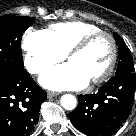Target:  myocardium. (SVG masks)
Returning a JSON list of instances; mask_svg holds the SVG:
<instances>
[{
	"label": "myocardium",
	"instance_id": "myocardium-1",
	"mask_svg": "<svg viewBox=\"0 0 136 136\" xmlns=\"http://www.w3.org/2000/svg\"><path fill=\"white\" fill-rule=\"evenodd\" d=\"M101 36H105L110 40L111 49H112L111 59H110V62L108 64L107 68L98 77L89 81V83L91 85H98L100 83H103L111 76V74L113 73V71L115 69L117 59H118V46H117V42H116L114 36L109 32L101 31V30L91 33L89 35L84 36L82 39H80L66 53V59H69L70 57L84 51L93 41H95L97 38H99Z\"/></svg>",
	"mask_w": 136,
	"mask_h": 136
}]
</instances>
